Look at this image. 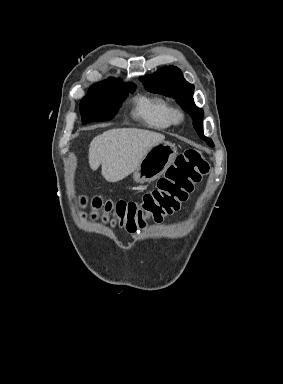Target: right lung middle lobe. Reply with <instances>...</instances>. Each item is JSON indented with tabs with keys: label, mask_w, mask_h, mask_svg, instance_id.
Listing matches in <instances>:
<instances>
[{
	"label": "right lung middle lobe",
	"mask_w": 283,
	"mask_h": 384,
	"mask_svg": "<svg viewBox=\"0 0 283 384\" xmlns=\"http://www.w3.org/2000/svg\"><path fill=\"white\" fill-rule=\"evenodd\" d=\"M134 91L135 86L133 84L90 88L80 103L83 124L113 119L121 103L128 96V92Z\"/></svg>",
	"instance_id": "right-lung-middle-lobe-1"
}]
</instances>
